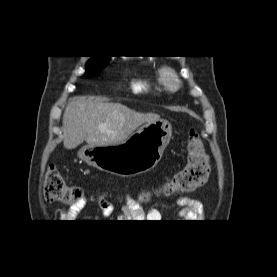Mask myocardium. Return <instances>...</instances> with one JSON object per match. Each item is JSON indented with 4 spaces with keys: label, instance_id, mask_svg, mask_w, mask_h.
<instances>
[{
    "label": "myocardium",
    "instance_id": "obj_1",
    "mask_svg": "<svg viewBox=\"0 0 277 277\" xmlns=\"http://www.w3.org/2000/svg\"><path fill=\"white\" fill-rule=\"evenodd\" d=\"M159 78L162 85L169 91H176L181 84L175 69L170 66H163L159 69Z\"/></svg>",
    "mask_w": 277,
    "mask_h": 277
}]
</instances>
